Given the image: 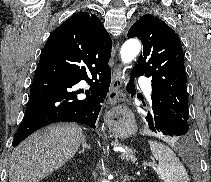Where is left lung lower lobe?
Instances as JSON below:
<instances>
[{
    "label": "left lung lower lobe",
    "instance_id": "1",
    "mask_svg": "<svg viewBox=\"0 0 211 182\" xmlns=\"http://www.w3.org/2000/svg\"><path fill=\"white\" fill-rule=\"evenodd\" d=\"M134 77H139L131 72L130 84L127 85V91L132 95L136 93L134 87ZM146 121L152 131L159 132L167 136H179V144L183 147H189L191 139L189 136L188 121L178 116L170 108L161 104H154L153 108L148 109Z\"/></svg>",
    "mask_w": 211,
    "mask_h": 182
}]
</instances>
